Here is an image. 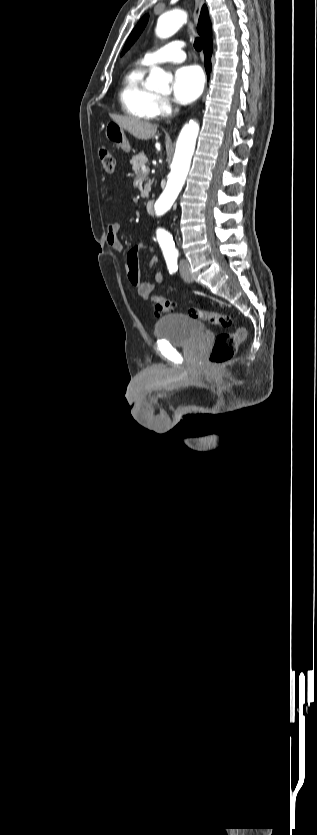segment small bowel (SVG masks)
Instances as JSON below:
<instances>
[{"label": "small bowel", "mask_w": 317, "mask_h": 835, "mask_svg": "<svg viewBox=\"0 0 317 835\" xmlns=\"http://www.w3.org/2000/svg\"><path fill=\"white\" fill-rule=\"evenodd\" d=\"M120 227L119 222L112 221L108 224L106 232L107 245L117 252H122L124 250V246L119 237ZM142 248L149 249L150 247L148 245L134 246L127 252L126 270L129 281L136 287L139 295L145 296L154 289V284L147 279H143L141 276L138 262L139 252ZM149 268L154 270L155 283L161 284L163 282V274L158 268L157 258H150Z\"/></svg>", "instance_id": "c3829d8e"}]
</instances>
